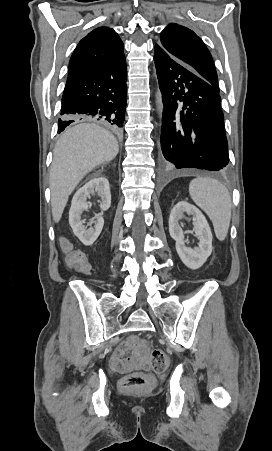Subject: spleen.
<instances>
[{
	"label": "spleen",
	"instance_id": "spleen-1",
	"mask_svg": "<svg viewBox=\"0 0 272 451\" xmlns=\"http://www.w3.org/2000/svg\"><path fill=\"white\" fill-rule=\"evenodd\" d=\"M189 194L209 216L216 237L225 239L231 220V198L226 186L213 178H195L189 184Z\"/></svg>",
	"mask_w": 272,
	"mask_h": 451
}]
</instances>
